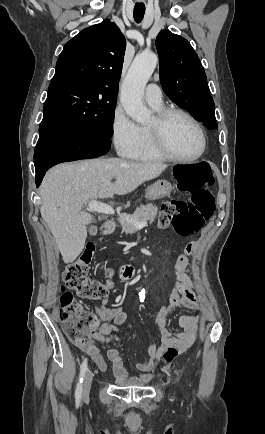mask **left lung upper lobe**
Listing matches in <instances>:
<instances>
[{"mask_svg":"<svg viewBox=\"0 0 265 434\" xmlns=\"http://www.w3.org/2000/svg\"><path fill=\"white\" fill-rule=\"evenodd\" d=\"M160 80L169 98L208 129H218L214 101L201 62L181 36L161 31L156 38Z\"/></svg>","mask_w":265,"mask_h":434,"instance_id":"left-lung-upper-lobe-1","label":"left lung upper lobe"}]
</instances>
